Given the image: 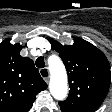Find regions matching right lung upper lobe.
<instances>
[{
	"instance_id": "cb5924a9",
	"label": "right lung upper lobe",
	"mask_w": 112,
	"mask_h": 112,
	"mask_svg": "<svg viewBox=\"0 0 112 112\" xmlns=\"http://www.w3.org/2000/svg\"><path fill=\"white\" fill-rule=\"evenodd\" d=\"M21 49L9 39L0 43V112H28L47 88L34 62L20 56Z\"/></svg>"
}]
</instances>
